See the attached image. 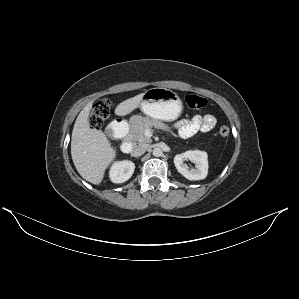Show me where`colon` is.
<instances>
[{
	"mask_svg": "<svg viewBox=\"0 0 299 299\" xmlns=\"http://www.w3.org/2000/svg\"><path fill=\"white\" fill-rule=\"evenodd\" d=\"M185 103L191 110H200L205 107L206 99L197 94L189 93L185 96ZM111 106V102L108 99H102L94 105L90 115V125L94 130H99L103 126L105 120L109 117ZM229 133L230 129L228 126L223 125L219 128V134L222 137L228 136Z\"/></svg>",
	"mask_w": 299,
	"mask_h": 299,
	"instance_id": "1",
	"label": "colon"
}]
</instances>
